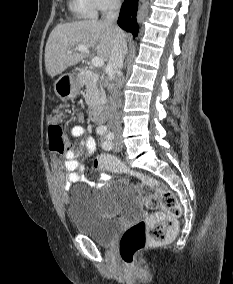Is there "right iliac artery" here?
<instances>
[{
    "label": "right iliac artery",
    "mask_w": 233,
    "mask_h": 284,
    "mask_svg": "<svg viewBox=\"0 0 233 284\" xmlns=\"http://www.w3.org/2000/svg\"><path fill=\"white\" fill-rule=\"evenodd\" d=\"M96 131H97L98 134L102 135V134L106 133L107 128L105 126H100V127L97 128Z\"/></svg>",
    "instance_id": "82829eb1"
}]
</instances>
